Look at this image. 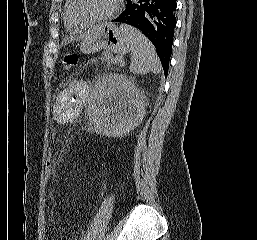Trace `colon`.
I'll list each match as a JSON object with an SVG mask.
<instances>
[{"label":"colon","mask_w":257,"mask_h":240,"mask_svg":"<svg viewBox=\"0 0 257 240\" xmlns=\"http://www.w3.org/2000/svg\"><path fill=\"white\" fill-rule=\"evenodd\" d=\"M79 61V56L76 53H67L63 59V65L66 70L73 69ZM55 171V155L49 149L46 157L44 175L46 181H49Z\"/></svg>","instance_id":"1"}]
</instances>
